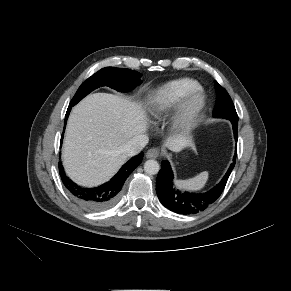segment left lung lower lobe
<instances>
[{"mask_svg": "<svg viewBox=\"0 0 291 291\" xmlns=\"http://www.w3.org/2000/svg\"><path fill=\"white\" fill-rule=\"evenodd\" d=\"M225 115V114H221ZM232 122L234 137L237 142L238 118L221 116ZM237 151V150H236ZM236 154L234 161L228 169L222 180L212 189L205 193H189L177 189L173 184V172L168 161L161 163V169L157 176L156 192L160 202L169 210L183 215L197 214L205 210L209 205L214 203L223 192L226 182L235 166Z\"/></svg>", "mask_w": 291, "mask_h": 291, "instance_id": "0a47b994", "label": "left lung lower lobe"}]
</instances>
